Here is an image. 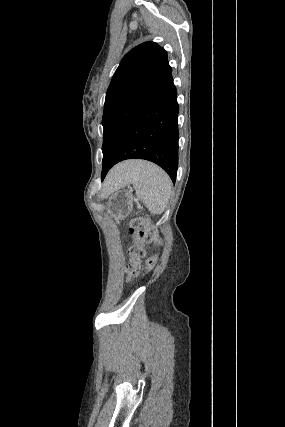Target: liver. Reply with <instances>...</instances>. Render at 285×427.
Masks as SVG:
<instances>
[{
  "label": "liver",
  "mask_w": 285,
  "mask_h": 427,
  "mask_svg": "<svg viewBox=\"0 0 285 427\" xmlns=\"http://www.w3.org/2000/svg\"><path fill=\"white\" fill-rule=\"evenodd\" d=\"M137 163L138 161H126L114 167L107 176V179L104 184V192L110 193L113 190L120 188L127 180V170L136 165Z\"/></svg>",
  "instance_id": "obj_1"
}]
</instances>
